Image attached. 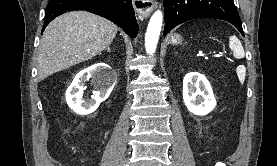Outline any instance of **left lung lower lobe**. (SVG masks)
Listing matches in <instances>:
<instances>
[{"label":"left lung lower lobe","instance_id":"obj_1","mask_svg":"<svg viewBox=\"0 0 277 166\" xmlns=\"http://www.w3.org/2000/svg\"><path fill=\"white\" fill-rule=\"evenodd\" d=\"M164 9V34L192 19L216 18L230 22L244 36L234 0H164Z\"/></svg>","mask_w":277,"mask_h":166}]
</instances>
